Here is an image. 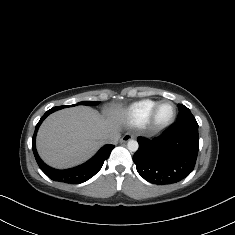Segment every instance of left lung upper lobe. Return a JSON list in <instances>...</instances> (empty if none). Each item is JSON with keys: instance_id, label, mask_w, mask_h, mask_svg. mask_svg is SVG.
<instances>
[{"instance_id": "1", "label": "left lung upper lobe", "mask_w": 235, "mask_h": 235, "mask_svg": "<svg viewBox=\"0 0 235 235\" xmlns=\"http://www.w3.org/2000/svg\"><path fill=\"white\" fill-rule=\"evenodd\" d=\"M178 107H179V114L177 117V122L197 123L196 119L194 118V116L186 106L178 104Z\"/></svg>"}]
</instances>
